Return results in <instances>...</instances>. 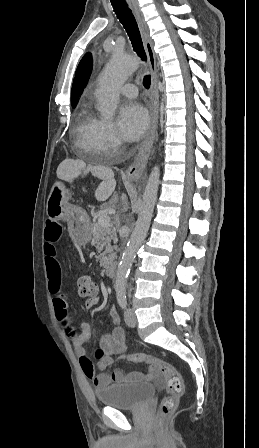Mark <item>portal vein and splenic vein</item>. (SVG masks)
Masks as SVG:
<instances>
[{
	"label": "portal vein and splenic vein",
	"instance_id": "18ae733b",
	"mask_svg": "<svg viewBox=\"0 0 259 448\" xmlns=\"http://www.w3.org/2000/svg\"><path fill=\"white\" fill-rule=\"evenodd\" d=\"M98 224L99 226H102V228H109L110 226V218L107 216V214H101L98 218Z\"/></svg>",
	"mask_w": 259,
	"mask_h": 448
}]
</instances>
